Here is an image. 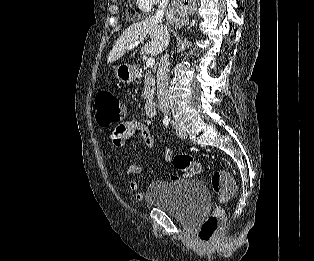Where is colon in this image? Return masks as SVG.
Here are the masks:
<instances>
[{
    "instance_id": "obj_1",
    "label": "colon",
    "mask_w": 314,
    "mask_h": 261,
    "mask_svg": "<svg viewBox=\"0 0 314 261\" xmlns=\"http://www.w3.org/2000/svg\"><path fill=\"white\" fill-rule=\"evenodd\" d=\"M95 121L99 127L105 128L120 123L124 119L123 103L110 91L102 90L95 96ZM184 177H193L200 173V164L190 155H171L167 159ZM176 178V177H174ZM213 191L220 202L229 201L236 192V183L230 173L224 170L215 171L211 176ZM224 220V211L216 206L199 228V237L203 242L216 240Z\"/></svg>"
}]
</instances>
